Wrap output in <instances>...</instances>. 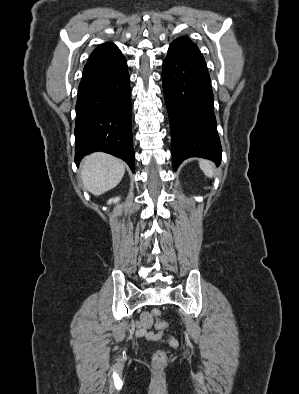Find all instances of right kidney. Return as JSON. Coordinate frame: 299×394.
<instances>
[{"label":"right kidney","instance_id":"right-kidney-1","mask_svg":"<svg viewBox=\"0 0 299 394\" xmlns=\"http://www.w3.org/2000/svg\"><path fill=\"white\" fill-rule=\"evenodd\" d=\"M118 201H119V198L116 197V198H114V199H110V200L108 201V204L116 203V202H118Z\"/></svg>","mask_w":299,"mask_h":394}]
</instances>
